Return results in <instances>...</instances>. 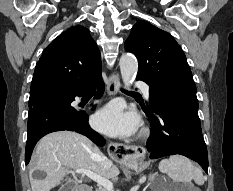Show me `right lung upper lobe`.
Returning <instances> with one entry per match:
<instances>
[{"instance_id":"obj_1","label":"right lung upper lobe","mask_w":233,"mask_h":191,"mask_svg":"<svg viewBox=\"0 0 233 191\" xmlns=\"http://www.w3.org/2000/svg\"><path fill=\"white\" fill-rule=\"evenodd\" d=\"M101 71V55L89 30L76 25L60 34L44 50L36 64L30 93L84 88Z\"/></svg>"}]
</instances>
